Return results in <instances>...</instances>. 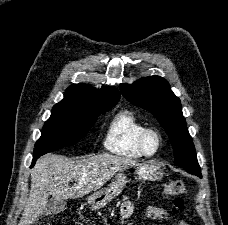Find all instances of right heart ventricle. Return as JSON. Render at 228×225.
Returning <instances> with one entry per match:
<instances>
[{"mask_svg": "<svg viewBox=\"0 0 228 225\" xmlns=\"http://www.w3.org/2000/svg\"><path fill=\"white\" fill-rule=\"evenodd\" d=\"M147 128L132 111H121L108 124L103 145L107 151L118 156L147 157L140 144L141 135Z\"/></svg>", "mask_w": 228, "mask_h": 225, "instance_id": "obj_1", "label": "right heart ventricle"}]
</instances>
